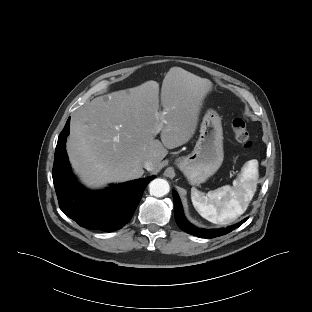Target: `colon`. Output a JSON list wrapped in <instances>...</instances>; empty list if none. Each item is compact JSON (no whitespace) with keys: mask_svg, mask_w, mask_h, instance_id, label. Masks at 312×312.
I'll return each mask as SVG.
<instances>
[{"mask_svg":"<svg viewBox=\"0 0 312 312\" xmlns=\"http://www.w3.org/2000/svg\"><path fill=\"white\" fill-rule=\"evenodd\" d=\"M231 126L234 138L238 144L245 149L250 148L252 146V140L245 121L241 118H235Z\"/></svg>","mask_w":312,"mask_h":312,"instance_id":"colon-1","label":"colon"}]
</instances>
